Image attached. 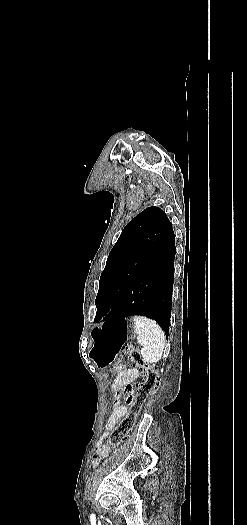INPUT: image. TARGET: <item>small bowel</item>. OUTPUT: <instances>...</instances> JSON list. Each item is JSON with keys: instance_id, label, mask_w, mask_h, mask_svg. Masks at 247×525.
Wrapping results in <instances>:
<instances>
[{"instance_id": "small-bowel-1", "label": "small bowel", "mask_w": 247, "mask_h": 525, "mask_svg": "<svg viewBox=\"0 0 247 525\" xmlns=\"http://www.w3.org/2000/svg\"><path fill=\"white\" fill-rule=\"evenodd\" d=\"M140 376V371L137 368H129L120 371L112 384V389L115 391L119 390L121 387L130 384ZM120 396H116V401L114 403L112 413L107 422V429L110 430L121 417L126 413V408L119 402ZM108 451L104 450L100 446L94 453L92 464L97 466L100 462L107 456Z\"/></svg>"}]
</instances>
